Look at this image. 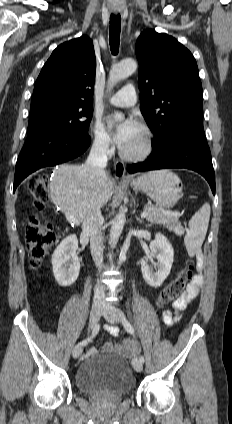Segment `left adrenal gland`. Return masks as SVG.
I'll list each match as a JSON object with an SVG mask.
<instances>
[{"instance_id":"1","label":"left adrenal gland","mask_w":232,"mask_h":424,"mask_svg":"<svg viewBox=\"0 0 232 424\" xmlns=\"http://www.w3.org/2000/svg\"><path fill=\"white\" fill-rule=\"evenodd\" d=\"M136 220H137V222H138V223H140V224H142V223H143V220H142V219H140L139 217H136Z\"/></svg>"}]
</instances>
